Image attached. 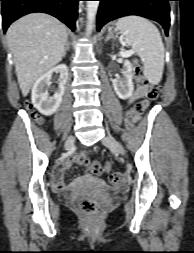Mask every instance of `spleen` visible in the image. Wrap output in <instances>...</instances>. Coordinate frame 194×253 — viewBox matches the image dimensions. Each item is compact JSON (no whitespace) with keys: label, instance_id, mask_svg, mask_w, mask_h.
<instances>
[{"label":"spleen","instance_id":"obj_1","mask_svg":"<svg viewBox=\"0 0 194 253\" xmlns=\"http://www.w3.org/2000/svg\"><path fill=\"white\" fill-rule=\"evenodd\" d=\"M116 28L143 61L145 77L158 84L164 69V45L157 27L143 17L132 15L118 19Z\"/></svg>","mask_w":194,"mask_h":253}]
</instances>
